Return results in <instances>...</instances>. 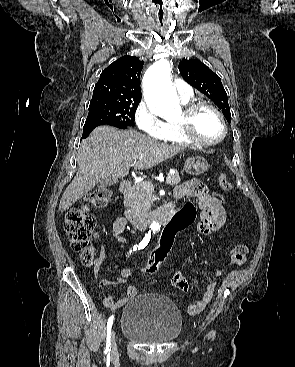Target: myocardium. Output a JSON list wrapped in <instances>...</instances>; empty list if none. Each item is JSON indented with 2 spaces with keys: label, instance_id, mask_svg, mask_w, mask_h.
I'll list each match as a JSON object with an SVG mask.
<instances>
[{
  "label": "myocardium",
  "instance_id": "obj_1",
  "mask_svg": "<svg viewBox=\"0 0 295 367\" xmlns=\"http://www.w3.org/2000/svg\"><path fill=\"white\" fill-rule=\"evenodd\" d=\"M203 108H208L210 110H212L216 116L218 117L221 126H222V134L221 136L213 141H204L201 140L200 138L197 137V135L195 134L194 131V126H193V122H194V118L197 114V112ZM177 125L179 126L181 132L183 133V135L194 145L197 146H202V147H210V146H215L219 143H221L226 135H227V123L225 121V118L223 116V114L221 113V111L214 106L213 104H210L208 102H196V103H192L189 104L185 107L184 111H183V118L179 121H177Z\"/></svg>",
  "mask_w": 295,
  "mask_h": 367
}]
</instances>
